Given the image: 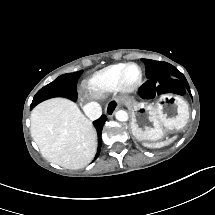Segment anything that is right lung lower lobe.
<instances>
[{
    "mask_svg": "<svg viewBox=\"0 0 215 215\" xmlns=\"http://www.w3.org/2000/svg\"><path fill=\"white\" fill-rule=\"evenodd\" d=\"M106 120H107V117L105 115H102L99 119L94 121V125H95V127L97 129L98 138H99L98 152L96 154L95 159L99 156V153H100V149H101V132H102V128H103V125H104Z\"/></svg>",
    "mask_w": 215,
    "mask_h": 215,
    "instance_id": "1",
    "label": "right lung lower lobe"
}]
</instances>
